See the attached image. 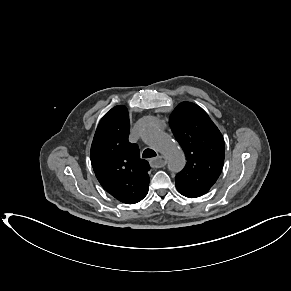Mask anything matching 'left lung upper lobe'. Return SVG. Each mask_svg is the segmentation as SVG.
<instances>
[{
	"instance_id": "obj_1",
	"label": "left lung upper lobe",
	"mask_w": 291,
	"mask_h": 291,
	"mask_svg": "<svg viewBox=\"0 0 291 291\" xmlns=\"http://www.w3.org/2000/svg\"><path fill=\"white\" fill-rule=\"evenodd\" d=\"M169 124L187 160L175 177L176 188L188 198L202 196L221 174L225 154L223 136L207 113L191 102L180 103Z\"/></svg>"
}]
</instances>
